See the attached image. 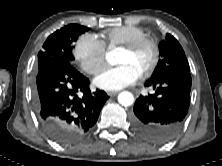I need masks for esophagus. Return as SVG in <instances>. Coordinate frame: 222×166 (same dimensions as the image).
Masks as SVG:
<instances>
[{"instance_id": "obj_1", "label": "esophagus", "mask_w": 222, "mask_h": 166, "mask_svg": "<svg viewBox=\"0 0 222 166\" xmlns=\"http://www.w3.org/2000/svg\"><path fill=\"white\" fill-rule=\"evenodd\" d=\"M108 96L113 97L118 94V92H108Z\"/></svg>"}]
</instances>
